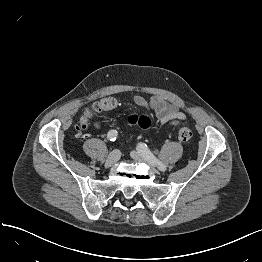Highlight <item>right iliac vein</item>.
Wrapping results in <instances>:
<instances>
[{
  "label": "right iliac vein",
  "instance_id": "63e3f726",
  "mask_svg": "<svg viewBox=\"0 0 262 262\" xmlns=\"http://www.w3.org/2000/svg\"><path fill=\"white\" fill-rule=\"evenodd\" d=\"M120 159V151L113 150L105 161V167L109 168L117 163Z\"/></svg>",
  "mask_w": 262,
  "mask_h": 262
}]
</instances>
